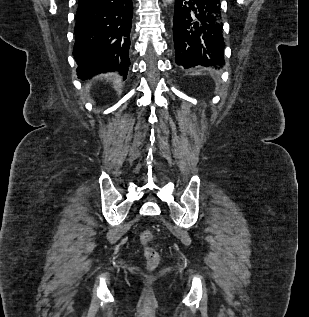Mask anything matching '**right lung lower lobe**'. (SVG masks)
<instances>
[{
  "label": "right lung lower lobe",
  "mask_w": 309,
  "mask_h": 317,
  "mask_svg": "<svg viewBox=\"0 0 309 317\" xmlns=\"http://www.w3.org/2000/svg\"><path fill=\"white\" fill-rule=\"evenodd\" d=\"M73 56L78 78L119 71L126 78L129 60L132 0H78Z\"/></svg>",
  "instance_id": "right-lung-lower-lobe-1"
}]
</instances>
